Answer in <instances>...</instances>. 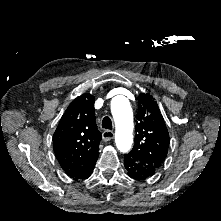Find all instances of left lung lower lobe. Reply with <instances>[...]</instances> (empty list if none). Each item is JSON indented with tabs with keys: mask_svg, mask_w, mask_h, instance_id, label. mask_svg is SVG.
<instances>
[{
	"mask_svg": "<svg viewBox=\"0 0 221 221\" xmlns=\"http://www.w3.org/2000/svg\"><path fill=\"white\" fill-rule=\"evenodd\" d=\"M124 165L128 176L134 180H145L154 174L151 170L142 167L127 155L124 158Z\"/></svg>",
	"mask_w": 221,
	"mask_h": 221,
	"instance_id": "0a47b994",
	"label": "left lung lower lobe"
}]
</instances>
